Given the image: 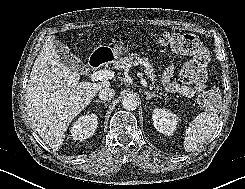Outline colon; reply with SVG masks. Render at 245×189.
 Returning <instances> with one entry per match:
<instances>
[{
	"label": "colon",
	"instance_id": "colon-1",
	"mask_svg": "<svg viewBox=\"0 0 245 189\" xmlns=\"http://www.w3.org/2000/svg\"><path fill=\"white\" fill-rule=\"evenodd\" d=\"M161 43L176 53L193 56L181 69L180 78L184 83L195 85L205 79L210 63V54L197 36L190 33L167 32L161 36ZM198 102L206 109L217 108L221 102L219 90L212 88L202 93Z\"/></svg>",
	"mask_w": 245,
	"mask_h": 189
}]
</instances>
